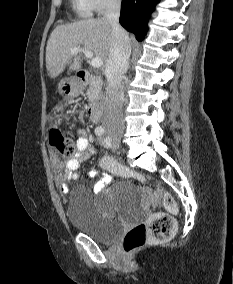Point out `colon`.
Returning a JSON list of instances; mask_svg holds the SVG:
<instances>
[{
	"label": "colon",
	"instance_id": "obj_1",
	"mask_svg": "<svg viewBox=\"0 0 233 284\" xmlns=\"http://www.w3.org/2000/svg\"><path fill=\"white\" fill-rule=\"evenodd\" d=\"M50 141L61 154H73V141L68 136L64 135L58 127L51 129ZM101 166L108 172L123 178L134 179L141 182L147 180L143 174L129 169L110 157L103 158ZM162 194L164 205L168 213H155L147 221L135 225L127 232L123 241V249L127 255L143 247L148 241H165L173 235L175 231V220L172 214L176 212V204L167 192H162Z\"/></svg>",
	"mask_w": 233,
	"mask_h": 284
}]
</instances>
